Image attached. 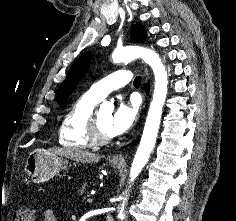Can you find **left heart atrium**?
Wrapping results in <instances>:
<instances>
[{
  "instance_id": "left-heart-atrium-1",
  "label": "left heart atrium",
  "mask_w": 236,
  "mask_h": 221,
  "mask_svg": "<svg viewBox=\"0 0 236 221\" xmlns=\"http://www.w3.org/2000/svg\"><path fill=\"white\" fill-rule=\"evenodd\" d=\"M137 111L138 106L135 102H119L108 124L110 136H117L126 132L135 122Z\"/></svg>"
}]
</instances>
